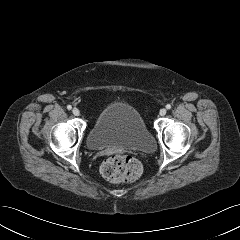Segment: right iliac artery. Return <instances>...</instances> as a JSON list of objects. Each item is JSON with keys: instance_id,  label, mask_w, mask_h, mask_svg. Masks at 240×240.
<instances>
[{"instance_id": "right-iliac-artery-1", "label": "right iliac artery", "mask_w": 240, "mask_h": 240, "mask_svg": "<svg viewBox=\"0 0 240 240\" xmlns=\"http://www.w3.org/2000/svg\"><path fill=\"white\" fill-rule=\"evenodd\" d=\"M67 109H68V110H71V109H72V106H71V105H68V106H67Z\"/></svg>"}]
</instances>
